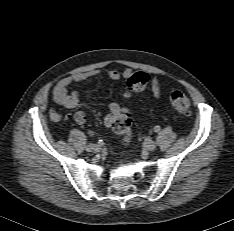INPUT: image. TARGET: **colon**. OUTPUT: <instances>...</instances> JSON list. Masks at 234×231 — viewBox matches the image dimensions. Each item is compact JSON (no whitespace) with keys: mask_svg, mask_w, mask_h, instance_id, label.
<instances>
[{"mask_svg":"<svg viewBox=\"0 0 234 231\" xmlns=\"http://www.w3.org/2000/svg\"><path fill=\"white\" fill-rule=\"evenodd\" d=\"M148 75L143 72H137L133 74L129 80V90L126 94L127 98L132 97L136 92L142 91L148 84ZM169 100L172 107L180 113H188L190 107L189 98L185 93L180 90H173L169 94ZM132 125V115L128 108L123 107L116 119L114 124V129L118 133L123 135V140L125 144L130 141V129Z\"/></svg>","mask_w":234,"mask_h":231,"instance_id":"5ec220e1","label":"colon"}]
</instances>
